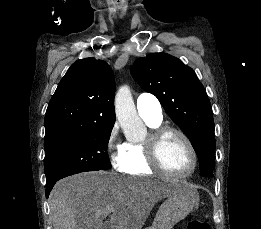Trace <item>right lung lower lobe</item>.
Masks as SVG:
<instances>
[{"label": "right lung lower lobe", "mask_w": 261, "mask_h": 229, "mask_svg": "<svg viewBox=\"0 0 261 229\" xmlns=\"http://www.w3.org/2000/svg\"><path fill=\"white\" fill-rule=\"evenodd\" d=\"M55 183H56V182H54V183H52V184H50V185H46V197H47V198H48L49 193H50V191L52 190V188H53V186H54Z\"/></svg>", "instance_id": "98d812e1"}]
</instances>
